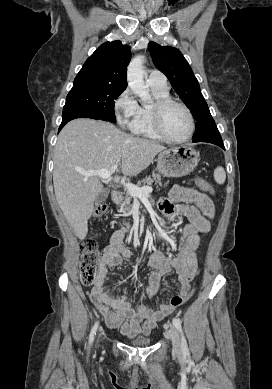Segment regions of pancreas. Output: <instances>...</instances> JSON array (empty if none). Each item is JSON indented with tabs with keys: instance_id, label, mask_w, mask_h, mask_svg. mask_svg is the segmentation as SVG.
<instances>
[{
	"instance_id": "pancreas-1",
	"label": "pancreas",
	"mask_w": 272,
	"mask_h": 389,
	"mask_svg": "<svg viewBox=\"0 0 272 389\" xmlns=\"http://www.w3.org/2000/svg\"><path fill=\"white\" fill-rule=\"evenodd\" d=\"M161 175L159 174H156V175H152L143 179L142 181L138 182V186H141V184H147V185H151L152 183H155V185H161ZM120 197H121V202H119L118 204L120 205V208H121V211L122 212H129L131 210V200L133 198L132 195H130V193L128 191H124V192H121L120 193ZM127 229H129L130 225L129 223H125L124 224Z\"/></svg>"
}]
</instances>
